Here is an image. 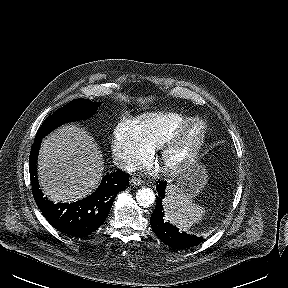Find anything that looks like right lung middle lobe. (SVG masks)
I'll return each mask as SVG.
<instances>
[{
	"label": "right lung middle lobe",
	"instance_id": "right-lung-middle-lobe-1",
	"mask_svg": "<svg viewBox=\"0 0 288 288\" xmlns=\"http://www.w3.org/2000/svg\"><path fill=\"white\" fill-rule=\"evenodd\" d=\"M101 102H91L87 99H76L56 112H54L40 127L36 134V139L43 138L58 126L80 119H87L91 117L99 107Z\"/></svg>",
	"mask_w": 288,
	"mask_h": 288
}]
</instances>
